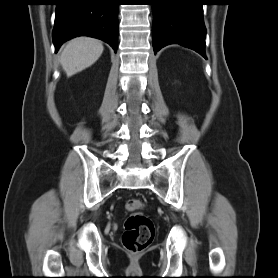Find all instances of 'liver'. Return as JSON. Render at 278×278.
I'll use <instances>...</instances> for the list:
<instances>
[{"label": "liver", "instance_id": "6515ba94", "mask_svg": "<svg viewBox=\"0 0 278 278\" xmlns=\"http://www.w3.org/2000/svg\"><path fill=\"white\" fill-rule=\"evenodd\" d=\"M102 42L90 37H77L65 45L60 63L68 77L93 65L102 55Z\"/></svg>", "mask_w": 278, "mask_h": 278}]
</instances>
